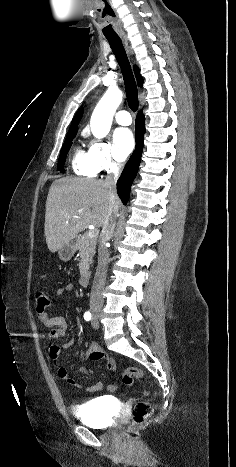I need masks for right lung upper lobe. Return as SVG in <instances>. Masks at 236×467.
<instances>
[{
  "instance_id": "right-lung-upper-lobe-1",
  "label": "right lung upper lobe",
  "mask_w": 236,
  "mask_h": 467,
  "mask_svg": "<svg viewBox=\"0 0 236 467\" xmlns=\"http://www.w3.org/2000/svg\"><path fill=\"white\" fill-rule=\"evenodd\" d=\"M134 73H135V76H136V80H137V83H138V86L139 87H142V84H143V78L142 76L140 75V70L138 69L137 66H134ZM82 114H83V108H80L78 110V112L76 113V115L74 116V119L72 120V124L69 128V131H68V134H73V133H77V130H78V124H79V121L82 117Z\"/></svg>"
}]
</instances>
